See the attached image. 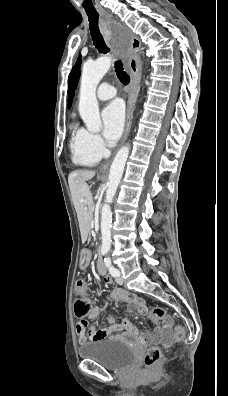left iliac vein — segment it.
<instances>
[{"mask_svg": "<svg viewBox=\"0 0 228 396\" xmlns=\"http://www.w3.org/2000/svg\"><path fill=\"white\" fill-rule=\"evenodd\" d=\"M116 282L119 284V285H122L123 284V278H122V276L121 275H119L117 278H116Z\"/></svg>", "mask_w": 228, "mask_h": 396, "instance_id": "left-iliac-vein-1", "label": "left iliac vein"}]
</instances>
